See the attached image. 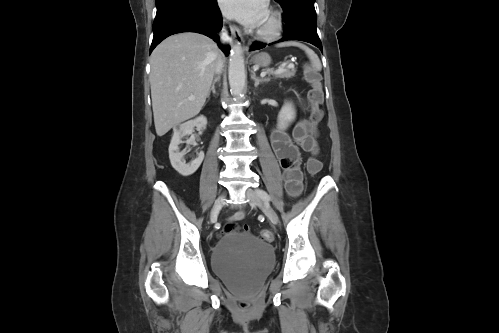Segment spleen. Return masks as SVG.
<instances>
[{
  "mask_svg": "<svg viewBox=\"0 0 499 333\" xmlns=\"http://www.w3.org/2000/svg\"><path fill=\"white\" fill-rule=\"evenodd\" d=\"M277 46L278 47L296 46V47L301 48L302 50L305 51V53L309 57L313 68L317 71H320L322 69V65H321L319 57L312 49H310L306 45L299 43L297 41H287V42L279 43Z\"/></svg>",
  "mask_w": 499,
  "mask_h": 333,
  "instance_id": "obj_1",
  "label": "spleen"
}]
</instances>
